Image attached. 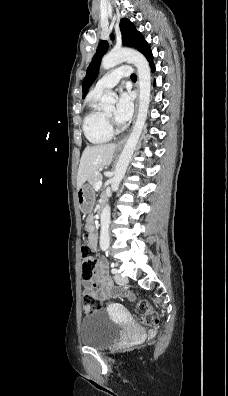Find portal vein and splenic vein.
I'll use <instances>...</instances> for the list:
<instances>
[{
    "mask_svg": "<svg viewBox=\"0 0 228 396\" xmlns=\"http://www.w3.org/2000/svg\"><path fill=\"white\" fill-rule=\"evenodd\" d=\"M102 186V181L97 182V184L95 185V189L98 190L100 189Z\"/></svg>",
    "mask_w": 228,
    "mask_h": 396,
    "instance_id": "portal-vein-and-splenic-vein-1",
    "label": "portal vein and splenic vein"
}]
</instances>
